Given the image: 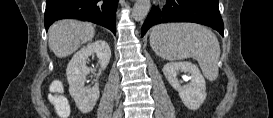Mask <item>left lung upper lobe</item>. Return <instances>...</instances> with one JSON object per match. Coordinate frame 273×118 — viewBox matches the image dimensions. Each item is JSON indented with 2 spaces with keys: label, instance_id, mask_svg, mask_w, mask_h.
Returning a JSON list of instances; mask_svg holds the SVG:
<instances>
[{
  "label": "left lung upper lobe",
  "instance_id": "1",
  "mask_svg": "<svg viewBox=\"0 0 273 118\" xmlns=\"http://www.w3.org/2000/svg\"><path fill=\"white\" fill-rule=\"evenodd\" d=\"M211 1L218 5V0H211Z\"/></svg>",
  "mask_w": 273,
  "mask_h": 118
}]
</instances>
